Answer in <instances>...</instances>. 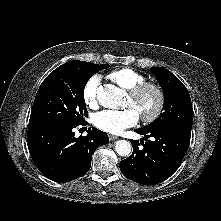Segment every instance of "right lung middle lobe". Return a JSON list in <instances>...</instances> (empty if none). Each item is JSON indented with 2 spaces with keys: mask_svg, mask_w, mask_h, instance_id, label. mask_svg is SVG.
I'll list each match as a JSON object with an SVG mask.
<instances>
[{
  "mask_svg": "<svg viewBox=\"0 0 221 221\" xmlns=\"http://www.w3.org/2000/svg\"><path fill=\"white\" fill-rule=\"evenodd\" d=\"M108 67L84 62L77 67L52 71L37 92L28 129L83 123V116L87 115L85 85L92 75Z\"/></svg>",
  "mask_w": 221,
  "mask_h": 221,
  "instance_id": "dd1d6c3e",
  "label": "right lung middle lobe"
}]
</instances>
